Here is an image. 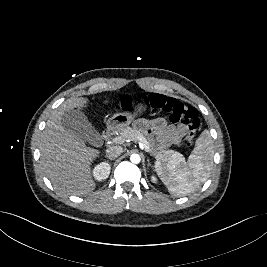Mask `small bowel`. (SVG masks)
I'll use <instances>...</instances> for the list:
<instances>
[{
	"mask_svg": "<svg viewBox=\"0 0 267 267\" xmlns=\"http://www.w3.org/2000/svg\"><path fill=\"white\" fill-rule=\"evenodd\" d=\"M136 128L162 146L178 144L187 131L184 125H168L162 119L139 120Z\"/></svg>",
	"mask_w": 267,
	"mask_h": 267,
	"instance_id": "1",
	"label": "small bowel"
}]
</instances>
